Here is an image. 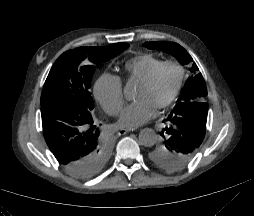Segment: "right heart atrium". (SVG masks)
Returning a JSON list of instances; mask_svg holds the SVG:
<instances>
[{
	"label": "right heart atrium",
	"mask_w": 254,
	"mask_h": 216,
	"mask_svg": "<svg viewBox=\"0 0 254 216\" xmlns=\"http://www.w3.org/2000/svg\"><path fill=\"white\" fill-rule=\"evenodd\" d=\"M94 96L106 113L117 115L124 103L121 79L111 74H102L95 83Z\"/></svg>",
	"instance_id": "1"
}]
</instances>
